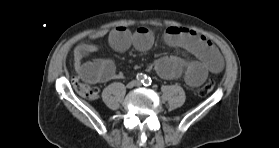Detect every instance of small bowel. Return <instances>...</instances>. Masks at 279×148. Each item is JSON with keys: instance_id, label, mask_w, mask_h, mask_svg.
<instances>
[{"instance_id": "small-bowel-1", "label": "small bowel", "mask_w": 279, "mask_h": 148, "mask_svg": "<svg viewBox=\"0 0 279 148\" xmlns=\"http://www.w3.org/2000/svg\"><path fill=\"white\" fill-rule=\"evenodd\" d=\"M107 35L98 31L90 35L91 40H97ZM110 45L117 51H125L134 47L139 51L150 49L154 43V34L147 27H139L131 32L125 27H117L108 33ZM167 45L182 50L194 57L185 60L177 55H164L154 60L148 71H156L165 79H174L184 75L189 86L197 87L207 78L209 73H219L223 69V59L213 43L195 31L170 26L164 33ZM97 50L96 45L89 42L78 44L74 49V63L78 75L84 81L97 84L120 78L114 63L109 59H84Z\"/></svg>"}]
</instances>
